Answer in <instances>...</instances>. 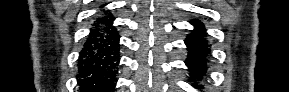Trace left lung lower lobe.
<instances>
[{
    "label": "left lung lower lobe",
    "instance_id": "1",
    "mask_svg": "<svg viewBox=\"0 0 289 92\" xmlns=\"http://www.w3.org/2000/svg\"><path fill=\"white\" fill-rule=\"evenodd\" d=\"M195 29L188 35L185 44L188 50V57L185 61L186 66L189 68L193 80H201L207 71V59L210 49L205 39L206 30L202 22L194 20L190 22ZM199 89L197 84L194 86Z\"/></svg>",
    "mask_w": 289,
    "mask_h": 92
}]
</instances>
